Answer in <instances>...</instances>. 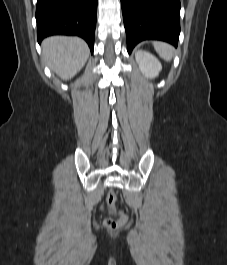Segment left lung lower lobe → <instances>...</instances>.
Segmentation results:
<instances>
[{"label":"left lung lower lobe","instance_id":"obj_1","mask_svg":"<svg viewBox=\"0 0 227 265\" xmlns=\"http://www.w3.org/2000/svg\"><path fill=\"white\" fill-rule=\"evenodd\" d=\"M127 51L142 40H163L177 46L180 0H121Z\"/></svg>","mask_w":227,"mask_h":265}]
</instances>
